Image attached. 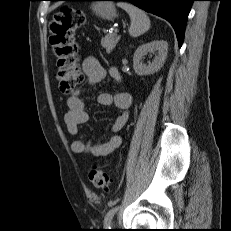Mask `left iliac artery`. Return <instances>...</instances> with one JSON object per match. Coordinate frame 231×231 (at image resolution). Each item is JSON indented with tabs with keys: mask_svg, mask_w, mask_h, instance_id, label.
Returning a JSON list of instances; mask_svg holds the SVG:
<instances>
[{
	"mask_svg": "<svg viewBox=\"0 0 231 231\" xmlns=\"http://www.w3.org/2000/svg\"><path fill=\"white\" fill-rule=\"evenodd\" d=\"M118 209H119V206H115L112 209H110L108 213L106 214L105 219H104V226L106 228H110L111 220Z\"/></svg>",
	"mask_w": 231,
	"mask_h": 231,
	"instance_id": "left-iliac-artery-1",
	"label": "left iliac artery"
}]
</instances>
